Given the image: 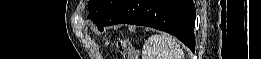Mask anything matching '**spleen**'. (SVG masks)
Here are the masks:
<instances>
[{
	"label": "spleen",
	"instance_id": "1",
	"mask_svg": "<svg viewBox=\"0 0 261 59\" xmlns=\"http://www.w3.org/2000/svg\"><path fill=\"white\" fill-rule=\"evenodd\" d=\"M143 59H183L179 43L169 35L154 34L143 46Z\"/></svg>",
	"mask_w": 261,
	"mask_h": 59
}]
</instances>
